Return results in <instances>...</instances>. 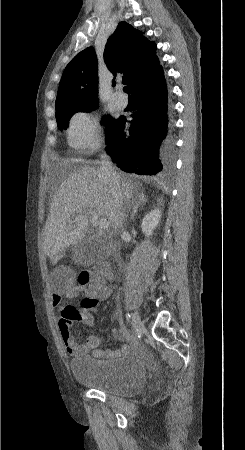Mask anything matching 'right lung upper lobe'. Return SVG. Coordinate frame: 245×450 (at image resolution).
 Returning <instances> with one entry per match:
<instances>
[{
	"instance_id": "1",
	"label": "right lung upper lobe",
	"mask_w": 245,
	"mask_h": 450,
	"mask_svg": "<svg viewBox=\"0 0 245 450\" xmlns=\"http://www.w3.org/2000/svg\"><path fill=\"white\" fill-rule=\"evenodd\" d=\"M156 44L148 41L131 25L121 22L108 39L104 60L108 69L126 73L123 83L130 92L137 84L160 67L155 54ZM115 81H113V85ZM98 64L94 49L78 53L66 66L58 88L56 106L66 103L98 104Z\"/></svg>"
}]
</instances>
